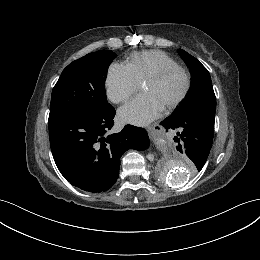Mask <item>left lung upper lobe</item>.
<instances>
[{"instance_id":"left-lung-upper-lobe-1","label":"left lung upper lobe","mask_w":260,"mask_h":260,"mask_svg":"<svg viewBox=\"0 0 260 260\" xmlns=\"http://www.w3.org/2000/svg\"><path fill=\"white\" fill-rule=\"evenodd\" d=\"M178 53L190 69L191 87L172 115L197 113L215 118L216 97L208 70L186 51L179 49Z\"/></svg>"}]
</instances>
